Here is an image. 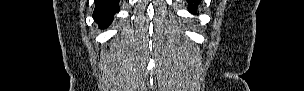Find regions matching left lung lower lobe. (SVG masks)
Masks as SVG:
<instances>
[{
  "instance_id": "0a47b994",
  "label": "left lung lower lobe",
  "mask_w": 304,
  "mask_h": 91,
  "mask_svg": "<svg viewBox=\"0 0 304 91\" xmlns=\"http://www.w3.org/2000/svg\"><path fill=\"white\" fill-rule=\"evenodd\" d=\"M188 3H189V6H188V8H189V10H191V12L192 11H194L195 9H196V7H197V4L199 3V1H196V0H188Z\"/></svg>"
}]
</instances>
